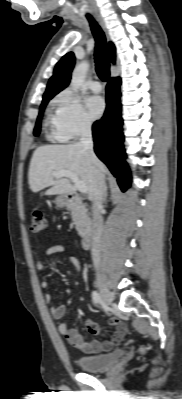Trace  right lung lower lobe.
Wrapping results in <instances>:
<instances>
[{
	"mask_svg": "<svg viewBox=\"0 0 182 399\" xmlns=\"http://www.w3.org/2000/svg\"><path fill=\"white\" fill-rule=\"evenodd\" d=\"M120 84V78L109 80L106 87L107 107L102 119L93 124L92 131L95 153L117 178L121 190L126 191L130 186L131 177L123 148Z\"/></svg>",
	"mask_w": 182,
	"mask_h": 399,
	"instance_id": "right-lung-lower-lobe-1",
	"label": "right lung lower lobe"
}]
</instances>
